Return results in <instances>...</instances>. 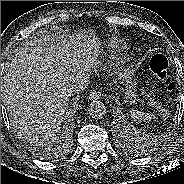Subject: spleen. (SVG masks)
Instances as JSON below:
<instances>
[{"label": "spleen", "mask_w": 184, "mask_h": 184, "mask_svg": "<svg viewBox=\"0 0 184 184\" xmlns=\"http://www.w3.org/2000/svg\"><path fill=\"white\" fill-rule=\"evenodd\" d=\"M133 115H135L136 119H142L144 117V115L140 112H135Z\"/></svg>", "instance_id": "obj_1"}]
</instances>
